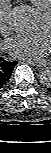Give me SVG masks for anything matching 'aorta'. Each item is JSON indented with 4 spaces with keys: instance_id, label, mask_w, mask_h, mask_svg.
<instances>
[{
    "instance_id": "762f6f07",
    "label": "aorta",
    "mask_w": 51,
    "mask_h": 153,
    "mask_svg": "<svg viewBox=\"0 0 51 153\" xmlns=\"http://www.w3.org/2000/svg\"><path fill=\"white\" fill-rule=\"evenodd\" d=\"M10 25L19 33L30 34L40 26V12L28 4H21L14 7L9 17ZM39 82L49 87L51 85V69L49 67L42 68L38 73Z\"/></svg>"
}]
</instances>
